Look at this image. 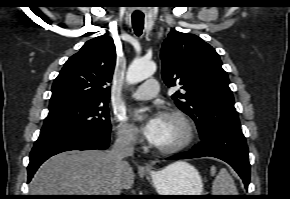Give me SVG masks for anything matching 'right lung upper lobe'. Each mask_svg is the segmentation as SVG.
I'll use <instances>...</instances> for the list:
<instances>
[{
	"label": "right lung upper lobe",
	"mask_w": 290,
	"mask_h": 199,
	"mask_svg": "<svg viewBox=\"0 0 290 199\" xmlns=\"http://www.w3.org/2000/svg\"><path fill=\"white\" fill-rule=\"evenodd\" d=\"M116 61L111 37L99 36L87 41L71 56L54 80L49 110L88 103H108Z\"/></svg>",
	"instance_id": "1"
}]
</instances>
